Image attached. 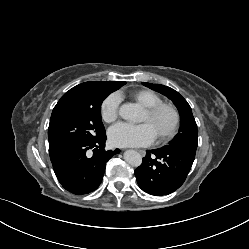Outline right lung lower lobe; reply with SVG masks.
Segmentation results:
<instances>
[{
  "mask_svg": "<svg viewBox=\"0 0 249 249\" xmlns=\"http://www.w3.org/2000/svg\"><path fill=\"white\" fill-rule=\"evenodd\" d=\"M106 139L104 134L96 140L71 144L50 153L55 175L66 190L82 195L98 188L106 162L120 152L119 149L105 151Z\"/></svg>",
  "mask_w": 249,
  "mask_h": 249,
  "instance_id": "1",
  "label": "right lung lower lobe"
}]
</instances>
